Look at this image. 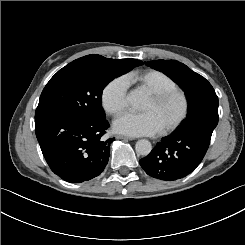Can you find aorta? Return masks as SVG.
<instances>
[{"mask_svg":"<svg viewBox=\"0 0 245 245\" xmlns=\"http://www.w3.org/2000/svg\"><path fill=\"white\" fill-rule=\"evenodd\" d=\"M127 101L133 107H139L142 105L144 98L140 93L132 92L127 96ZM135 150H136L137 154L142 155V156H147L152 150V145L148 140L141 139V140L136 142Z\"/></svg>","mask_w":245,"mask_h":245,"instance_id":"762f6f07","label":"aorta"}]
</instances>
